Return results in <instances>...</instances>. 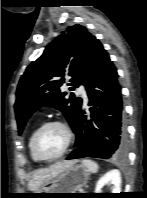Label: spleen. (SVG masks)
Here are the masks:
<instances>
[{
    "label": "spleen",
    "instance_id": "3e777b00",
    "mask_svg": "<svg viewBox=\"0 0 147 198\" xmlns=\"http://www.w3.org/2000/svg\"><path fill=\"white\" fill-rule=\"evenodd\" d=\"M82 164L92 173H96L99 169L98 164L95 161L89 159L82 160Z\"/></svg>",
    "mask_w": 147,
    "mask_h": 198
}]
</instances>
